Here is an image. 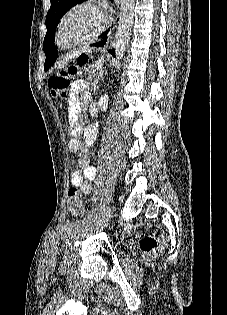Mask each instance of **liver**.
Listing matches in <instances>:
<instances>
[{
  "label": "liver",
  "instance_id": "obj_1",
  "mask_svg": "<svg viewBox=\"0 0 227 315\" xmlns=\"http://www.w3.org/2000/svg\"><path fill=\"white\" fill-rule=\"evenodd\" d=\"M67 59L68 58H64V60L59 63V67H64V65L67 64Z\"/></svg>",
  "mask_w": 227,
  "mask_h": 315
}]
</instances>
